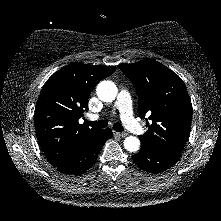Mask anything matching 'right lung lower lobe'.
<instances>
[{"instance_id":"98d812e1","label":"right lung lower lobe","mask_w":221,"mask_h":221,"mask_svg":"<svg viewBox=\"0 0 221 221\" xmlns=\"http://www.w3.org/2000/svg\"><path fill=\"white\" fill-rule=\"evenodd\" d=\"M111 136V130L99 129L95 134L86 139L70 157L55 166V168L66 174H83L94 165L103 144Z\"/></svg>"}]
</instances>
